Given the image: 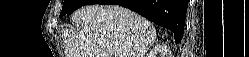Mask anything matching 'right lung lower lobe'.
<instances>
[{
	"label": "right lung lower lobe",
	"mask_w": 249,
	"mask_h": 57,
	"mask_svg": "<svg viewBox=\"0 0 249 57\" xmlns=\"http://www.w3.org/2000/svg\"><path fill=\"white\" fill-rule=\"evenodd\" d=\"M92 4H114L129 8L148 20L175 32L176 43L182 39L187 0H94Z\"/></svg>",
	"instance_id": "1"
}]
</instances>
